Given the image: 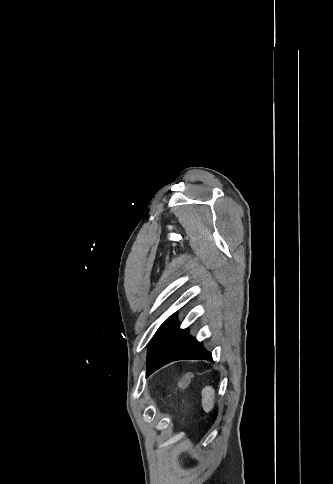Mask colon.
Wrapping results in <instances>:
<instances>
[{
    "label": "colon",
    "instance_id": "obj_1",
    "mask_svg": "<svg viewBox=\"0 0 333 484\" xmlns=\"http://www.w3.org/2000/svg\"><path fill=\"white\" fill-rule=\"evenodd\" d=\"M193 377H194V376H193V373H191V372L186 373V374H185V375L182 377V379H181V381H180V384H179V388H180V391H181V392H183V393H184V392H185V391L188 389V387H189V385H190V383H191V381H192Z\"/></svg>",
    "mask_w": 333,
    "mask_h": 484
}]
</instances>
